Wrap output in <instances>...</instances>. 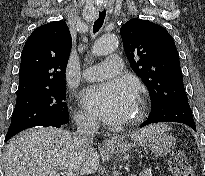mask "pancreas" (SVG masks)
<instances>
[{
    "instance_id": "cf45deb5",
    "label": "pancreas",
    "mask_w": 205,
    "mask_h": 176,
    "mask_svg": "<svg viewBox=\"0 0 205 176\" xmlns=\"http://www.w3.org/2000/svg\"><path fill=\"white\" fill-rule=\"evenodd\" d=\"M149 170L148 169H146L145 170V174H143L142 176H146V173L148 172Z\"/></svg>"
}]
</instances>
